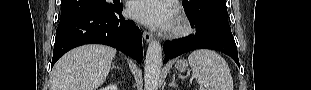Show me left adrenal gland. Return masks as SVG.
<instances>
[{
  "instance_id": "obj_1",
  "label": "left adrenal gland",
  "mask_w": 311,
  "mask_h": 90,
  "mask_svg": "<svg viewBox=\"0 0 311 90\" xmlns=\"http://www.w3.org/2000/svg\"><path fill=\"white\" fill-rule=\"evenodd\" d=\"M169 87H176V83H175V75H173V78H172V82L168 85Z\"/></svg>"
}]
</instances>
